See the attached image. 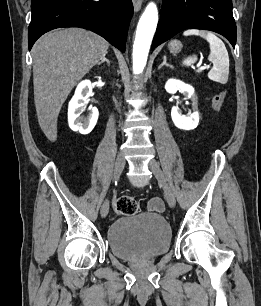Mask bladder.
Returning a JSON list of instances; mask_svg holds the SVG:
<instances>
[{"label": "bladder", "mask_w": 261, "mask_h": 306, "mask_svg": "<svg viewBox=\"0 0 261 306\" xmlns=\"http://www.w3.org/2000/svg\"><path fill=\"white\" fill-rule=\"evenodd\" d=\"M172 231L166 219L156 213H140L116 219L108 228L111 252L124 260H141L166 253Z\"/></svg>", "instance_id": "obj_1"}]
</instances>
